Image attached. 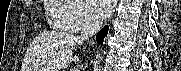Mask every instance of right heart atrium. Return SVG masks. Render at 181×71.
Returning <instances> with one entry per match:
<instances>
[{"label":"right heart atrium","mask_w":181,"mask_h":71,"mask_svg":"<svg viewBox=\"0 0 181 71\" xmlns=\"http://www.w3.org/2000/svg\"><path fill=\"white\" fill-rule=\"evenodd\" d=\"M57 2L68 7L65 13L68 31L79 32L89 30L97 24L85 1L83 0H57Z\"/></svg>","instance_id":"d8ad5b80"}]
</instances>
